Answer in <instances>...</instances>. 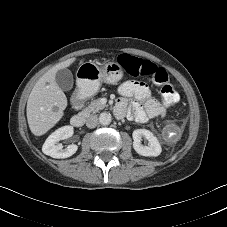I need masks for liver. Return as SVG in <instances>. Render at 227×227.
Returning a JSON list of instances; mask_svg holds the SVG:
<instances>
[{"label": "liver", "mask_w": 227, "mask_h": 227, "mask_svg": "<svg viewBox=\"0 0 227 227\" xmlns=\"http://www.w3.org/2000/svg\"><path fill=\"white\" fill-rule=\"evenodd\" d=\"M70 58L49 69L34 85L27 101V121L31 132L41 136L63 117L67 98L56 83V73L74 63Z\"/></svg>", "instance_id": "1"}]
</instances>
